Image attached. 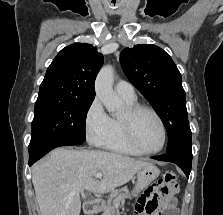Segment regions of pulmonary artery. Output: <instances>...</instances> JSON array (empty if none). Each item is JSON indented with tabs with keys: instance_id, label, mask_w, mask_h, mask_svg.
I'll use <instances>...</instances> for the list:
<instances>
[{
	"instance_id": "1",
	"label": "pulmonary artery",
	"mask_w": 223,
	"mask_h": 215,
	"mask_svg": "<svg viewBox=\"0 0 223 215\" xmlns=\"http://www.w3.org/2000/svg\"><path fill=\"white\" fill-rule=\"evenodd\" d=\"M115 92L124 99L133 101L136 99V94L133 86L125 81L118 80L114 85Z\"/></svg>"
}]
</instances>
